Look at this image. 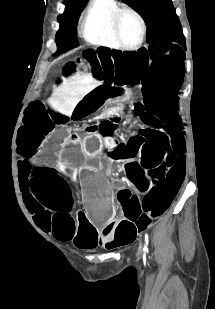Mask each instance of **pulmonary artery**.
I'll return each instance as SVG.
<instances>
[{
    "label": "pulmonary artery",
    "mask_w": 215,
    "mask_h": 309,
    "mask_svg": "<svg viewBox=\"0 0 215 309\" xmlns=\"http://www.w3.org/2000/svg\"><path fill=\"white\" fill-rule=\"evenodd\" d=\"M93 16H106V11L109 8H114V1L110 0H97L93 1Z\"/></svg>",
    "instance_id": "1"
}]
</instances>
